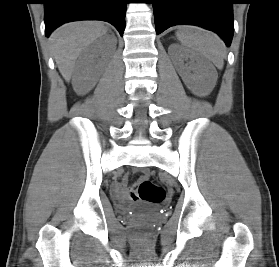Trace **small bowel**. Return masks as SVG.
I'll list each match as a JSON object with an SVG mask.
<instances>
[{
    "label": "small bowel",
    "mask_w": 279,
    "mask_h": 267,
    "mask_svg": "<svg viewBox=\"0 0 279 267\" xmlns=\"http://www.w3.org/2000/svg\"><path fill=\"white\" fill-rule=\"evenodd\" d=\"M127 181V177L124 178V182ZM134 187L130 186L129 190H126L121 183H115L113 185V194L116 198L120 200H125L129 197L133 199V201H138L140 198L137 196L136 192H133Z\"/></svg>",
    "instance_id": "c3829d8e"
}]
</instances>
